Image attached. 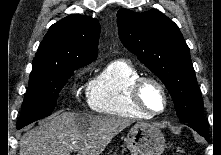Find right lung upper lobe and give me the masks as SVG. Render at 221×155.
<instances>
[{
    "label": "right lung upper lobe",
    "mask_w": 221,
    "mask_h": 155,
    "mask_svg": "<svg viewBox=\"0 0 221 155\" xmlns=\"http://www.w3.org/2000/svg\"><path fill=\"white\" fill-rule=\"evenodd\" d=\"M99 34L97 19L79 14L69 15L50 27L33 64H89L97 58Z\"/></svg>",
    "instance_id": "cb5924a9"
}]
</instances>
